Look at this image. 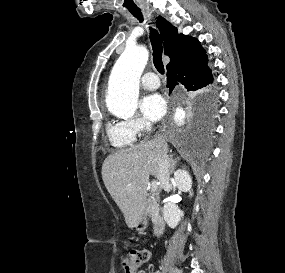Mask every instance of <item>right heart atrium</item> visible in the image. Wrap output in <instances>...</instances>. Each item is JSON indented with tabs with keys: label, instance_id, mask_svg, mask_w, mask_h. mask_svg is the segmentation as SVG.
<instances>
[{
	"label": "right heart atrium",
	"instance_id": "1",
	"mask_svg": "<svg viewBox=\"0 0 285 273\" xmlns=\"http://www.w3.org/2000/svg\"><path fill=\"white\" fill-rule=\"evenodd\" d=\"M122 124L126 130L134 137L143 135L150 128L149 122L140 117L128 119L126 121H123Z\"/></svg>",
	"mask_w": 285,
	"mask_h": 273
}]
</instances>
